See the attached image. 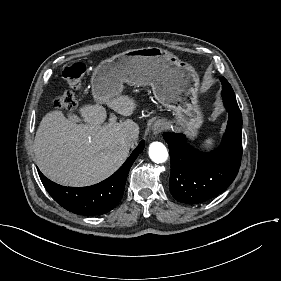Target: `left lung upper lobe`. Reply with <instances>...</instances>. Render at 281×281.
Segmentation results:
<instances>
[{
  "instance_id": "left-lung-upper-lobe-1",
  "label": "left lung upper lobe",
  "mask_w": 281,
  "mask_h": 281,
  "mask_svg": "<svg viewBox=\"0 0 281 281\" xmlns=\"http://www.w3.org/2000/svg\"><path fill=\"white\" fill-rule=\"evenodd\" d=\"M221 82H222V96L235 98L234 91L231 85L228 83V81L224 77H222Z\"/></svg>"
}]
</instances>
